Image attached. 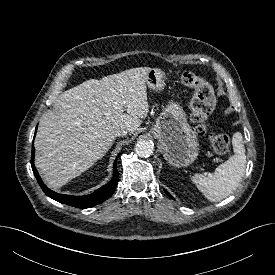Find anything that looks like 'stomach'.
<instances>
[{
  "label": "stomach",
  "mask_w": 275,
  "mask_h": 275,
  "mask_svg": "<svg viewBox=\"0 0 275 275\" xmlns=\"http://www.w3.org/2000/svg\"><path fill=\"white\" fill-rule=\"evenodd\" d=\"M166 76L159 68H152L147 75V85L153 90L165 87ZM164 151L165 160L174 167H187L198 156V140L192 131L182 107L170 101L151 129Z\"/></svg>",
  "instance_id": "1"
}]
</instances>
